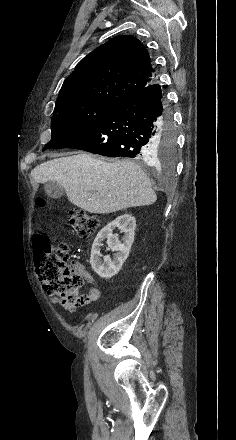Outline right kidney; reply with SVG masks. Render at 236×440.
I'll list each match as a JSON object with an SVG mask.
<instances>
[{"label":"right kidney","mask_w":236,"mask_h":440,"mask_svg":"<svg viewBox=\"0 0 236 440\" xmlns=\"http://www.w3.org/2000/svg\"><path fill=\"white\" fill-rule=\"evenodd\" d=\"M115 228L121 229L124 233L122 242L116 234H113ZM135 228V217L131 214H124L118 216L97 234L92 244L90 264L101 278L109 279L120 271L134 242ZM105 239H107L108 248L114 252L113 260L109 256L101 259L100 246Z\"/></svg>","instance_id":"ca27d5eb"}]
</instances>
